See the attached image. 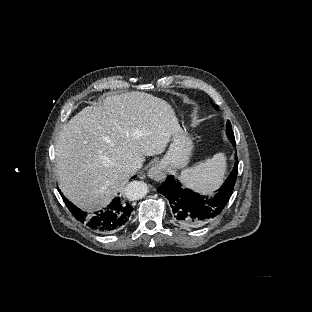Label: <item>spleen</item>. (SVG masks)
I'll return each instance as SVG.
<instances>
[{"label":"spleen","mask_w":312,"mask_h":312,"mask_svg":"<svg viewBox=\"0 0 312 312\" xmlns=\"http://www.w3.org/2000/svg\"><path fill=\"white\" fill-rule=\"evenodd\" d=\"M226 169L225 154L217 153L211 159L183 170L180 181L186 188L211 196L223 184Z\"/></svg>","instance_id":"1"}]
</instances>
